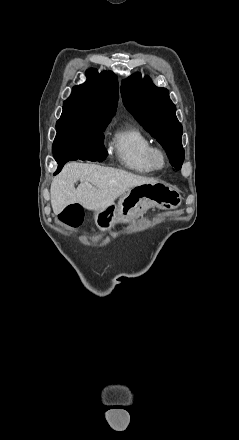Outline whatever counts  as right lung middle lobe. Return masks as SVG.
I'll return each instance as SVG.
<instances>
[{"label":"right lung middle lobe","instance_id":"right-lung-middle-lobe-1","mask_svg":"<svg viewBox=\"0 0 239 440\" xmlns=\"http://www.w3.org/2000/svg\"><path fill=\"white\" fill-rule=\"evenodd\" d=\"M110 118L77 116L62 112L56 123L57 134L52 146L53 154L84 145L103 146V131Z\"/></svg>","mask_w":239,"mask_h":440}]
</instances>
